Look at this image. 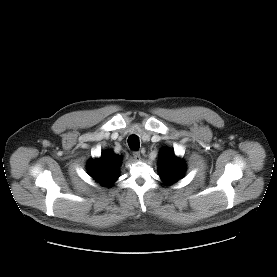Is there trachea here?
Returning a JSON list of instances; mask_svg holds the SVG:
<instances>
[{"label": "trachea", "instance_id": "obj_1", "mask_svg": "<svg viewBox=\"0 0 277 277\" xmlns=\"http://www.w3.org/2000/svg\"><path fill=\"white\" fill-rule=\"evenodd\" d=\"M128 145L130 147V149L132 150H138L140 143H139V139L136 135H132L128 138Z\"/></svg>", "mask_w": 277, "mask_h": 277}]
</instances>
